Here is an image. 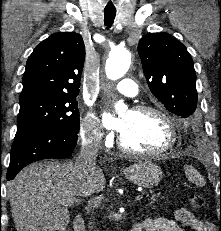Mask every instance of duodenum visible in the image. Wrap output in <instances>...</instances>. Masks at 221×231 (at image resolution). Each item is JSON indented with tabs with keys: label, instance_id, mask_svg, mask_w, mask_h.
<instances>
[{
	"label": "duodenum",
	"instance_id": "obj_1",
	"mask_svg": "<svg viewBox=\"0 0 221 231\" xmlns=\"http://www.w3.org/2000/svg\"><path fill=\"white\" fill-rule=\"evenodd\" d=\"M74 231H86L84 218L81 215L75 217L73 222ZM130 231H140L139 227L133 226Z\"/></svg>",
	"mask_w": 221,
	"mask_h": 231
}]
</instances>
